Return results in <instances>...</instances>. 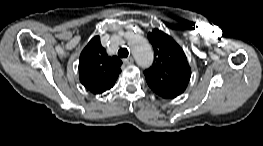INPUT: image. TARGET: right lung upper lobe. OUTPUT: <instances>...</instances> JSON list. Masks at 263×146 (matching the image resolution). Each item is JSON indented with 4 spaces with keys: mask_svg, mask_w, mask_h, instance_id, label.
<instances>
[{
    "mask_svg": "<svg viewBox=\"0 0 263 146\" xmlns=\"http://www.w3.org/2000/svg\"><path fill=\"white\" fill-rule=\"evenodd\" d=\"M122 61L107 55L99 36L93 37L79 58L80 82L93 94L112 88L121 72Z\"/></svg>",
    "mask_w": 263,
    "mask_h": 146,
    "instance_id": "1",
    "label": "right lung upper lobe"
}]
</instances>
